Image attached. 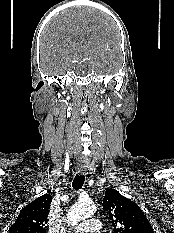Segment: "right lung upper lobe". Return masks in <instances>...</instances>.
Wrapping results in <instances>:
<instances>
[{
    "instance_id": "1",
    "label": "right lung upper lobe",
    "mask_w": 174,
    "mask_h": 233,
    "mask_svg": "<svg viewBox=\"0 0 174 233\" xmlns=\"http://www.w3.org/2000/svg\"><path fill=\"white\" fill-rule=\"evenodd\" d=\"M52 197L45 194L24 207L9 233H46Z\"/></svg>"
}]
</instances>
